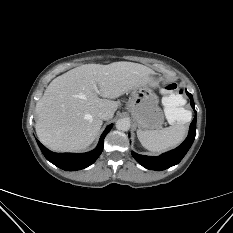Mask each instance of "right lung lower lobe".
I'll list each match as a JSON object with an SVG mask.
<instances>
[{"instance_id": "obj_1", "label": "right lung lower lobe", "mask_w": 233, "mask_h": 233, "mask_svg": "<svg viewBox=\"0 0 233 233\" xmlns=\"http://www.w3.org/2000/svg\"><path fill=\"white\" fill-rule=\"evenodd\" d=\"M111 128L112 124L105 129L95 150L83 154L54 153L45 148L38 140L37 143L45 158L55 166L66 171L81 170L93 164L99 157L103 150L104 138Z\"/></svg>"}]
</instances>
